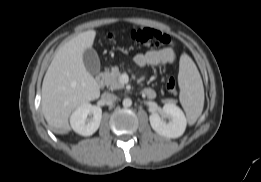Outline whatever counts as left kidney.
Returning <instances> with one entry per match:
<instances>
[{
	"mask_svg": "<svg viewBox=\"0 0 261 182\" xmlns=\"http://www.w3.org/2000/svg\"><path fill=\"white\" fill-rule=\"evenodd\" d=\"M164 117H171V121L166 122ZM149 121L153 130L167 138H178L183 135L187 120L183 111L173 103L163 106L161 113H152Z\"/></svg>",
	"mask_w": 261,
	"mask_h": 182,
	"instance_id": "left-kidney-1",
	"label": "left kidney"
}]
</instances>
